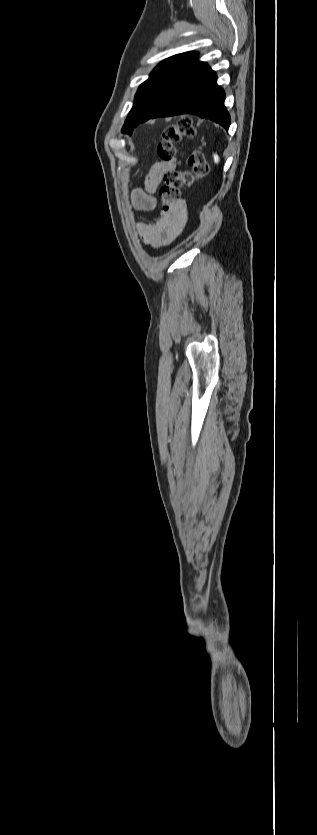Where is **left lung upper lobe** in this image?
I'll return each instance as SVG.
<instances>
[{"instance_id":"obj_1","label":"left lung upper lobe","mask_w":317,"mask_h":835,"mask_svg":"<svg viewBox=\"0 0 317 835\" xmlns=\"http://www.w3.org/2000/svg\"><path fill=\"white\" fill-rule=\"evenodd\" d=\"M197 52H185L163 60L141 84L135 102L122 128L132 134L133 129L147 121L168 98L183 72L198 57Z\"/></svg>"}]
</instances>
